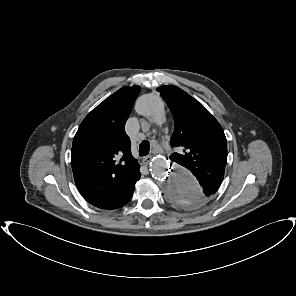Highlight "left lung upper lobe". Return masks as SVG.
<instances>
[{"label": "left lung upper lobe", "instance_id": "left-lung-upper-lobe-1", "mask_svg": "<svg viewBox=\"0 0 296 296\" xmlns=\"http://www.w3.org/2000/svg\"><path fill=\"white\" fill-rule=\"evenodd\" d=\"M174 117L173 147L184 154L173 153L170 159L189 169L201 189L176 190L171 201L181 207L195 208L206 203L215 193L213 187L224 177L227 162V140L219 122L196 99L176 86L157 88Z\"/></svg>", "mask_w": 296, "mask_h": 296}]
</instances>
